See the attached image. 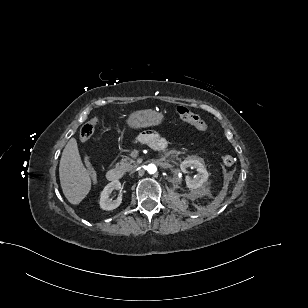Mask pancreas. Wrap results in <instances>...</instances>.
Masks as SVG:
<instances>
[{
  "label": "pancreas",
  "mask_w": 308,
  "mask_h": 308,
  "mask_svg": "<svg viewBox=\"0 0 308 308\" xmlns=\"http://www.w3.org/2000/svg\"><path fill=\"white\" fill-rule=\"evenodd\" d=\"M137 165H138V162L134 161L133 159L127 156H124L121 159L120 163H118L116 166L123 171H131L135 169Z\"/></svg>",
  "instance_id": "cf45deb5"
}]
</instances>
